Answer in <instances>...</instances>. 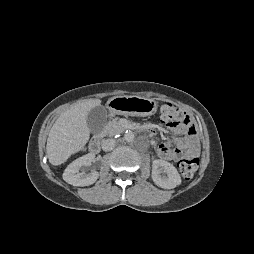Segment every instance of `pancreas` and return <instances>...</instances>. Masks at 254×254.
Listing matches in <instances>:
<instances>
[{
  "label": "pancreas",
  "mask_w": 254,
  "mask_h": 254,
  "mask_svg": "<svg viewBox=\"0 0 254 254\" xmlns=\"http://www.w3.org/2000/svg\"><path fill=\"white\" fill-rule=\"evenodd\" d=\"M108 127H109V133L111 135L117 134L124 130V127L122 126L120 120L118 119H113L111 122H109Z\"/></svg>",
  "instance_id": "obj_1"
}]
</instances>
